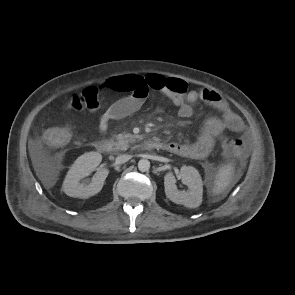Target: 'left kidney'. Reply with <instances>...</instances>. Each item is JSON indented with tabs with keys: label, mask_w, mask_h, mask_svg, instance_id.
I'll use <instances>...</instances> for the list:
<instances>
[{
	"label": "left kidney",
	"mask_w": 295,
	"mask_h": 295,
	"mask_svg": "<svg viewBox=\"0 0 295 295\" xmlns=\"http://www.w3.org/2000/svg\"><path fill=\"white\" fill-rule=\"evenodd\" d=\"M179 177L188 186V190L179 191L175 184L176 179L174 175L169 172L164 177L167 198L176 204H181L188 208L199 207L203 196V183L199 172L192 166H182Z\"/></svg>",
	"instance_id": "obj_1"
}]
</instances>
